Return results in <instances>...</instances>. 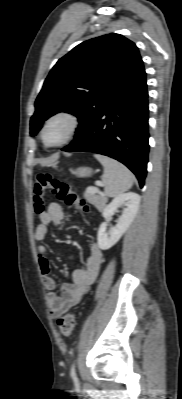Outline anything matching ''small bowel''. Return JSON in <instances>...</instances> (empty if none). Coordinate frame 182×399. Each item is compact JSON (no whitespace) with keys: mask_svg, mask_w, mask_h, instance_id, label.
Instances as JSON below:
<instances>
[{"mask_svg":"<svg viewBox=\"0 0 182 399\" xmlns=\"http://www.w3.org/2000/svg\"><path fill=\"white\" fill-rule=\"evenodd\" d=\"M40 223L35 229V239L44 240L48 235V226L62 228L66 223V217L62 205L52 202L47 210L40 214ZM38 263L42 273L43 284L47 291V302L53 318H58L74 307L88 292L94 282L102 263V250L96 242L90 245L89 256L84 265L76 269L72 274V283L62 285L61 294H58L56 282L50 275L51 263L49 260V248L40 244L37 248Z\"/></svg>","mask_w":182,"mask_h":399,"instance_id":"1","label":"small bowel"}]
</instances>
